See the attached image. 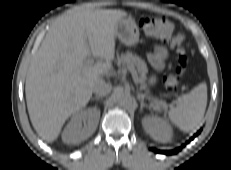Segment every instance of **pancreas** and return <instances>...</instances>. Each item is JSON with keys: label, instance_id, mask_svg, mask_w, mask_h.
<instances>
[{"label": "pancreas", "instance_id": "obj_1", "mask_svg": "<svg viewBox=\"0 0 231 170\" xmlns=\"http://www.w3.org/2000/svg\"><path fill=\"white\" fill-rule=\"evenodd\" d=\"M116 63L118 67L123 69L136 68V72L139 74V76L137 77V81L141 84V88L145 89V80L148 69L144 60H142L136 54L127 51L124 54L117 55ZM155 103L159 102L155 101Z\"/></svg>", "mask_w": 231, "mask_h": 170}]
</instances>
